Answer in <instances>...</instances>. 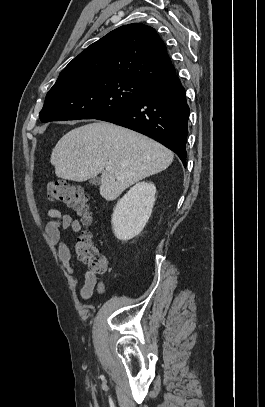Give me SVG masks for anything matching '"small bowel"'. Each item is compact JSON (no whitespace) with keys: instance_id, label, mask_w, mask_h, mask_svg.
Returning <instances> with one entry per match:
<instances>
[{"instance_id":"c3829d8e","label":"small bowel","mask_w":265,"mask_h":407,"mask_svg":"<svg viewBox=\"0 0 265 407\" xmlns=\"http://www.w3.org/2000/svg\"><path fill=\"white\" fill-rule=\"evenodd\" d=\"M46 234L51 244L56 248L58 259L63 265L65 272L69 276H74L75 269L71 264V251L63 240L62 234L65 230L73 233L81 231L82 225L79 220L73 219L69 214H62L57 209H50L43 218ZM103 292L104 283L93 271H87L84 275V282L80 288V297L88 300L93 292Z\"/></svg>"}]
</instances>
